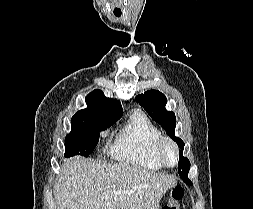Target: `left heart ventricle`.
Instances as JSON below:
<instances>
[{
	"mask_svg": "<svg viewBox=\"0 0 253 209\" xmlns=\"http://www.w3.org/2000/svg\"><path fill=\"white\" fill-rule=\"evenodd\" d=\"M165 158L170 164H174L176 157H175V152L171 146H166L165 148Z\"/></svg>",
	"mask_w": 253,
	"mask_h": 209,
	"instance_id": "b2bd125f",
	"label": "left heart ventricle"
}]
</instances>
